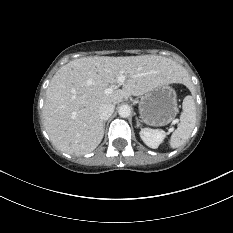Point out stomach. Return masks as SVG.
<instances>
[{"mask_svg": "<svg viewBox=\"0 0 233 233\" xmlns=\"http://www.w3.org/2000/svg\"><path fill=\"white\" fill-rule=\"evenodd\" d=\"M142 121L150 126L169 124L177 114V97L169 85H161L142 96L139 103Z\"/></svg>", "mask_w": 233, "mask_h": 233, "instance_id": "0dacf381", "label": "stomach"}]
</instances>
